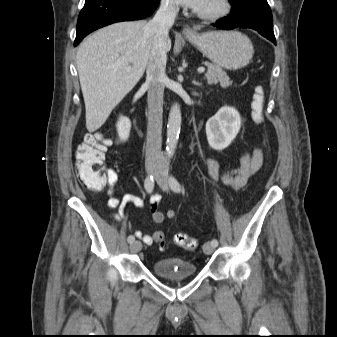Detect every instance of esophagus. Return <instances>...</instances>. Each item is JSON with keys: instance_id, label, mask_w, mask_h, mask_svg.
Wrapping results in <instances>:
<instances>
[{"instance_id": "esophagus-1", "label": "esophagus", "mask_w": 337, "mask_h": 337, "mask_svg": "<svg viewBox=\"0 0 337 337\" xmlns=\"http://www.w3.org/2000/svg\"><path fill=\"white\" fill-rule=\"evenodd\" d=\"M182 33H183L184 35H193V34H194V31L192 30V28H191L190 26L185 25V26L183 27Z\"/></svg>"}]
</instances>
